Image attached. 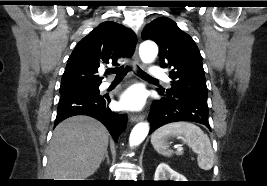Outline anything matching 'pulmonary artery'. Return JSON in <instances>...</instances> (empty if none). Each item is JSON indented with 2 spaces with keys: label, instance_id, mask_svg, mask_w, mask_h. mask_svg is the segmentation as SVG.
Instances as JSON below:
<instances>
[{
  "label": "pulmonary artery",
  "instance_id": "obj_1",
  "mask_svg": "<svg viewBox=\"0 0 267 186\" xmlns=\"http://www.w3.org/2000/svg\"><path fill=\"white\" fill-rule=\"evenodd\" d=\"M150 73L151 75L155 76V77H160V78H166L167 79V76L166 74L164 73V70L158 66H154L150 69ZM110 85V82L109 81H105L101 84V87L102 88H107L108 86Z\"/></svg>",
  "mask_w": 267,
  "mask_h": 186
}]
</instances>
